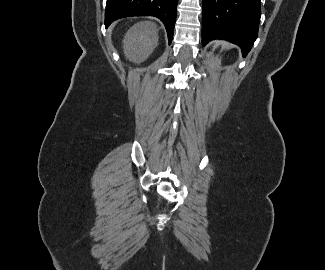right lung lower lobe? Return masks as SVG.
<instances>
[{"mask_svg":"<svg viewBox=\"0 0 325 270\" xmlns=\"http://www.w3.org/2000/svg\"><path fill=\"white\" fill-rule=\"evenodd\" d=\"M178 0H107L105 25L127 16H154L165 25L171 43Z\"/></svg>","mask_w":325,"mask_h":270,"instance_id":"1","label":"right lung lower lobe"}]
</instances>
